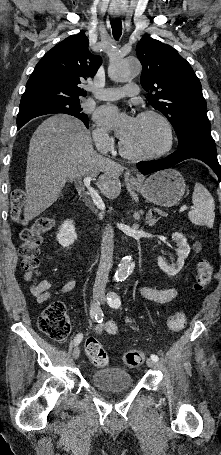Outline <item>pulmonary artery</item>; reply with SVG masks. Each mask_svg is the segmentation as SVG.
<instances>
[{
    "label": "pulmonary artery",
    "mask_w": 221,
    "mask_h": 455,
    "mask_svg": "<svg viewBox=\"0 0 221 455\" xmlns=\"http://www.w3.org/2000/svg\"><path fill=\"white\" fill-rule=\"evenodd\" d=\"M92 95L94 98L99 100H117L125 96L136 95L139 91L138 85L135 83H129L124 87L120 88H104V89H95L92 88Z\"/></svg>",
    "instance_id": "e3ab8cb5"
}]
</instances>
